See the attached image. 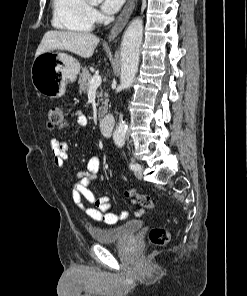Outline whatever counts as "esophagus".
<instances>
[{
	"instance_id": "34e87169",
	"label": "esophagus",
	"mask_w": 247,
	"mask_h": 296,
	"mask_svg": "<svg viewBox=\"0 0 247 296\" xmlns=\"http://www.w3.org/2000/svg\"><path fill=\"white\" fill-rule=\"evenodd\" d=\"M137 0H128L125 7L123 8L122 12L118 16L109 36V42H113L115 38L122 32L123 28L125 27L126 23L128 22Z\"/></svg>"
}]
</instances>
